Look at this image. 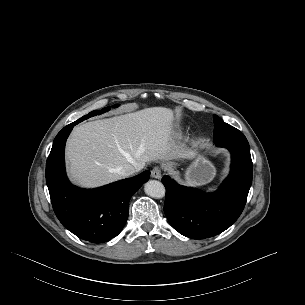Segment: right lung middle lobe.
I'll return each instance as SVG.
<instances>
[{"label": "right lung middle lobe", "instance_id": "obj_1", "mask_svg": "<svg viewBox=\"0 0 305 305\" xmlns=\"http://www.w3.org/2000/svg\"><path fill=\"white\" fill-rule=\"evenodd\" d=\"M117 106H118V105H114L113 107H117ZM108 110H109V107L103 108L102 110H99V111H98V110L92 111V112H90L88 115L83 116L81 119H82V121H83V120L88 119V118H90V117H92V116L102 114V113H104V112H106V111H108Z\"/></svg>", "mask_w": 305, "mask_h": 305}]
</instances>
